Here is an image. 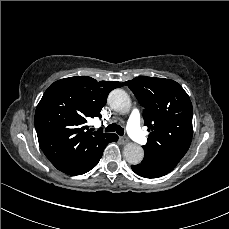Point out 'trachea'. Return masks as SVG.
Masks as SVG:
<instances>
[{
    "instance_id": "1",
    "label": "trachea",
    "mask_w": 229,
    "mask_h": 229,
    "mask_svg": "<svg viewBox=\"0 0 229 229\" xmlns=\"http://www.w3.org/2000/svg\"><path fill=\"white\" fill-rule=\"evenodd\" d=\"M105 131L106 132H116L120 136L124 134V129L120 125H117L115 123L108 125Z\"/></svg>"
}]
</instances>
